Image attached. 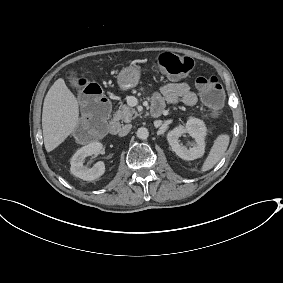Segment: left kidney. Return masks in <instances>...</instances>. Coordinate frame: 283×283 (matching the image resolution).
Masks as SVG:
<instances>
[{"instance_id": "left-kidney-1", "label": "left kidney", "mask_w": 283, "mask_h": 283, "mask_svg": "<svg viewBox=\"0 0 283 283\" xmlns=\"http://www.w3.org/2000/svg\"><path fill=\"white\" fill-rule=\"evenodd\" d=\"M184 133H188L195 139V143L190 144L188 149L179 143V137ZM207 134V128L205 123L194 117H190L186 123V126H178L167 134V140L172 147V150L184 160H194L204 155L205 151V136Z\"/></svg>"}]
</instances>
